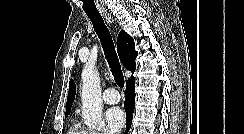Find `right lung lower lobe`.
Returning <instances> with one entry per match:
<instances>
[{
  "label": "right lung lower lobe",
  "mask_w": 244,
  "mask_h": 134,
  "mask_svg": "<svg viewBox=\"0 0 244 134\" xmlns=\"http://www.w3.org/2000/svg\"><path fill=\"white\" fill-rule=\"evenodd\" d=\"M135 79L132 77L130 80L126 82V91H125V102L124 108L126 111V131L125 134L128 133L132 123V114L134 112V104H135Z\"/></svg>",
  "instance_id": "obj_1"
}]
</instances>
